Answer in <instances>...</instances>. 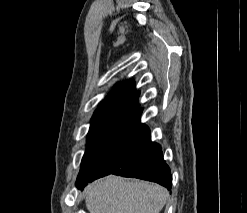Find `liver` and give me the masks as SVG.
Wrapping results in <instances>:
<instances>
[{"instance_id":"1","label":"liver","mask_w":247,"mask_h":213,"mask_svg":"<svg viewBox=\"0 0 247 213\" xmlns=\"http://www.w3.org/2000/svg\"><path fill=\"white\" fill-rule=\"evenodd\" d=\"M167 197L160 185L110 175L87 188L85 204L90 213H160Z\"/></svg>"}]
</instances>
